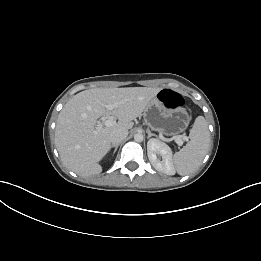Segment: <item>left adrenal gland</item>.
Returning <instances> with one entry per match:
<instances>
[{"label": "left adrenal gland", "mask_w": 261, "mask_h": 261, "mask_svg": "<svg viewBox=\"0 0 261 261\" xmlns=\"http://www.w3.org/2000/svg\"><path fill=\"white\" fill-rule=\"evenodd\" d=\"M147 133H148V139H149L151 136H156V135L153 134L149 129H147Z\"/></svg>", "instance_id": "1"}]
</instances>
